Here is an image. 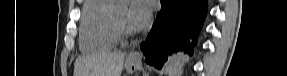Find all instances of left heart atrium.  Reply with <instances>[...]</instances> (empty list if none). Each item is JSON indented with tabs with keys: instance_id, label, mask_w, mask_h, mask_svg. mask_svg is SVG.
<instances>
[{
	"instance_id": "1",
	"label": "left heart atrium",
	"mask_w": 287,
	"mask_h": 76,
	"mask_svg": "<svg viewBox=\"0 0 287 76\" xmlns=\"http://www.w3.org/2000/svg\"><path fill=\"white\" fill-rule=\"evenodd\" d=\"M151 18V3L147 0H134L128 10V21L133 29L144 28Z\"/></svg>"
}]
</instances>
